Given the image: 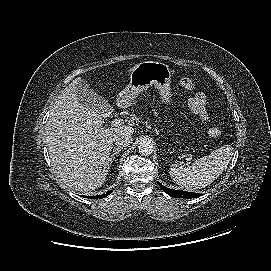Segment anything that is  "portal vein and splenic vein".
<instances>
[{
	"label": "portal vein and splenic vein",
	"instance_id": "18ae733b",
	"mask_svg": "<svg viewBox=\"0 0 271 271\" xmlns=\"http://www.w3.org/2000/svg\"><path fill=\"white\" fill-rule=\"evenodd\" d=\"M123 124V119H121V118H116V119H114L113 121H112V123H111V125L113 126V127H118V126H120V125H122Z\"/></svg>",
	"mask_w": 271,
	"mask_h": 271
}]
</instances>
